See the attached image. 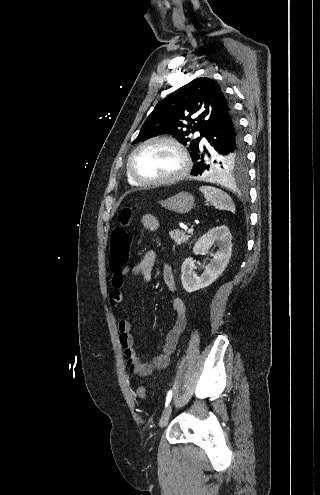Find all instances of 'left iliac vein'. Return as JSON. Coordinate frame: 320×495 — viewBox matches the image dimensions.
<instances>
[{
  "mask_svg": "<svg viewBox=\"0 0 320 495\" xmlns=\"http://www.w3.org/2000/svg\"><path fill=\"white\" fill-rule=\"evenodd\" d=\"M171 412H172V405H169L165 411L163 412V415L161 416V419L159 421V426L161 428L165 427L170 419V416H171Z\"/></svg>",
  "mask_w": 320,
  "mask_h": 495,
  "instance_id": "left-iliac-vein-1",
  "label": "left iliac vein"
}]
</instances>
